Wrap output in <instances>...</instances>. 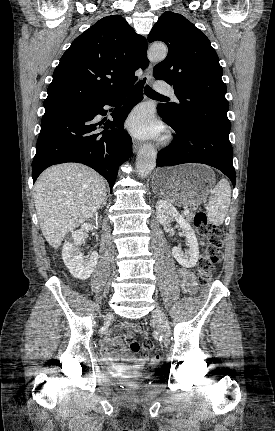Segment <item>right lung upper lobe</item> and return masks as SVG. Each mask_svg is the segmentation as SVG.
Listing matches in <instances>:
<instances>
[{"label":"right lung upper lobe","instance_id":"right-lung-upper-lobe-1","mask_svg":"<svg viewBox=\"0 0 275 431\" xmlns=\"http://www.w3.org/2000/svg\"><path fill=\"white\" fill-rule=\"evenodd\" d=\"M147 42L120 15L99 20L78 36L53 73L45 110L102 100L124 92L148 66Z\"/></svg>","mask_w":275,"mask_h":431}]
</instances>
